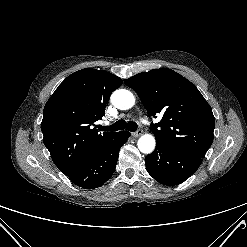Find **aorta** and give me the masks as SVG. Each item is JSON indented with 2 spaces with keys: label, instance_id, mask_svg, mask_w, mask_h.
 Returning <instances> with one entry per match:
<instances>
[{
  "label": "aorta",
  "instance_id": "1",
  "mask_svg": "<svg viewBox=\"0 0 247 247\" xmlns=\"http://www.w3.org/2000/svg\"><path fill=\"white\" fill-rule=\"evenodd\" d=\"M111 102L116 108L127 110L135 104V97L130 91L119 89L112 93ZM155 145V138L151 134L141 136L137 143L138 149L144 154L153 152Z\"/></svg>",
  "mask_w": 247,
  "mask_h": 247
}]
</instances>
